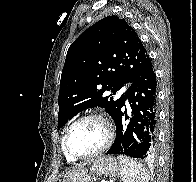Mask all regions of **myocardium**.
Returning a JSON list of instances; mask_svg holds the SVG:
<instances>
[{"label": "myocardium", "mask_w": 196, "mask_h": 182, "mask_svg": "<svg viewBox=\"0 0 196 182\" xmlns=\"http://www.w3.org/2000/svg\"><path fill=\"white\" fill-rule=\"evenodd\" d=\"M86 120H95V121H98L102 125L104 129V141L102 145L94 152L87 154V155H77L70 151L69 146H68V137H69L71 130L77 124L83 121H86ZM112 140H113V129H112L110 122L103 115L99 113H88V114L78 117L68 126V128L65 131L64 137H63V150L67 156H69L70 158L74 160H89L104 153L110 147Z\"/></svg>", "instance_id": "1"}]
</instances>
